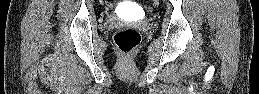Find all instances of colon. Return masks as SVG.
Listing matches in <instances>:
<instances>
[{
    "instance_id": "5ec220e1",
    "label": "colon",
    "mask_w": 259,
    "mask_h": 94,
    "mask_svg": "<svg viewBox=\"0 0 259 94\" xmlns=\"http://www.w3.org/2000/svg\"><path fill=\"white\" fill-rule=\"evenodd\" d=\"M140 39V33L132 27L120 29L114 34L115 45L126 61L139 45Z\"/></svg>"
}]
</instances>
